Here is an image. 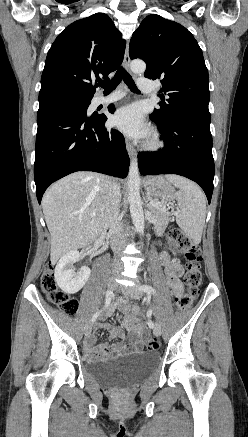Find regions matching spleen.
I'll list each match as a JSON object with an SVG mask.
<instances>
[{"label": "spleen", "mask_w": 248, "mask_h": 437, "mask_svg": "<svg viewBox=\"0 0 248 437\" xmlns=\"http://www.w3.org/2000/svg\"><path fill=\"white\" fill-rule=\"evenodd\" d=\"M165 177L179 188L174 193L179 207L177 224L195 244H199L206 218V198L203 191L196 183L182 176L170 174Z\"/></svg>", "instance_id": "3e777b00"}]
</instances>
